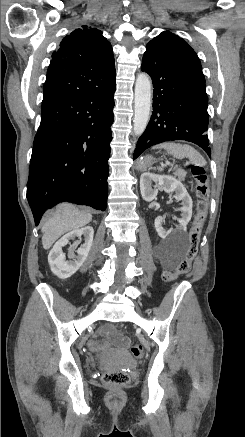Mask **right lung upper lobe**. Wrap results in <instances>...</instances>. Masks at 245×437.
Instances as JSON below:
<instances>
[{"label": "right lung upper lobe", "instance_id": "cb5924a9", "mask_svg": "<svg viewBox=\"0 0 245 437\" xmlns=\"http://www.w3.org/2000/svg\"><path fill=\"white\" fill-rule=\"evenodd\" d=\"M116 77L112 46L96 28L82 26L54 51L43 86L42 110L110 84Z\"/></svg>", "mask_w": 245, "mask_h": 437}]
</instances>
